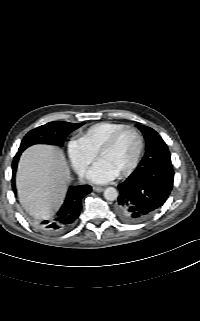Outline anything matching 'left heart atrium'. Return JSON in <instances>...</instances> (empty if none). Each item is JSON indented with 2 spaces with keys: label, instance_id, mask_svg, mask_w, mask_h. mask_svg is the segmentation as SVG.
<instances>
[{
  "label": "left heart atrium",
  "instance_id": "1",
  "mask_svg": "<svg viewBox=\"0 0 200 321\" xmlns=\"http://www.w3.org/2000/svg\"><path fill=\"white\" fill-rule=\"evenodd\" d=\"M87 176L96 183H106L115 179L118 174L103 160H99L88 171Z\"/></svg>",
  "mask_w": 200,
  "mask_h": 321
}]
</instances>
